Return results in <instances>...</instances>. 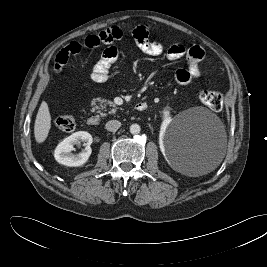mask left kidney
I'll return each mask as SVG.
<instances>
[{
	"label": "left kidney",
	"instance_id": "5707ae66",
	"mask_svg": "<svg viewBox=\"0 0 267 267\" xmlns=\"http://www.w3.org/2000/svg\"><path fill=\"white\" fill-rule=\"evenodd\" d=\"M172 121L171 117H170V112L168 110H164L163 111V122H162V126H161V132H164L167 128V126L169 125V123ZM162 152H165V148L163 146L162 148Z\"/></svg>",
	"mask_w": 267,
	"mask_h": 267
}]
</instances>
